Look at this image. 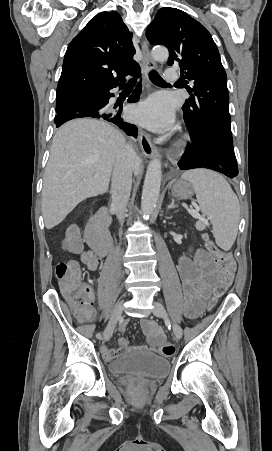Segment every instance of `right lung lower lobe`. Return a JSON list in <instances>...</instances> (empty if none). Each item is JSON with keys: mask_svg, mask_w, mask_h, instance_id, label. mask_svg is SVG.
Returning <instances> with one entry per match:
<instances>
[{"mask_svg": "<svg viewBox=\"0 0 272 451\" xmlns=\"http://www.w3.org/2000/svg\"><path fill=\"white\" fill-rule=\"evenodd\" d=\"M139 71L140 67L136 69L132 75H140L137 73ZM124 84L125 79L123 82H119L115 87L119 86L122 88ZM112 88L84 91L64 97L57 101V115L54 119L56 126L59 127L63 123L75 118L91 117L113 123L122 129L127 135L136 138L138 131L137 127L123 121L121 118V109L113 111L107 107L109 98L114 96V94L110 92ZM139 88L140 85L138 84L133 94L128 99V102L138 101Z\"/></svg>", "mask_w": 272, "mask_h": 451, "instance_id": "obj_1", "label": "right lung lower lobe"}]
</instances>
